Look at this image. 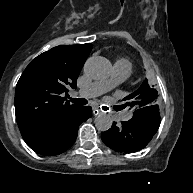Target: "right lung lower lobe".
<instances>
[{
  "mask_svg": "<svg viewBox=\"0 0 193 193\" xmlns=\"http://www.w3.org/2000/svg\"><path fill=\"white\" fill-rule=\"evenodd\" d=\"M91 114L92 109L90 106H82L53 135L25 142L32 150L41 155L53 156L60 154L74 143L79 125L91 117Z\"/></svg>",
  "mask_w": 193,
  "mask_h": 193,
  "instance_id": "98d812e1",
  "label": "right lung lower lobe"
}]
</instances>
